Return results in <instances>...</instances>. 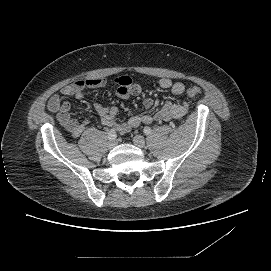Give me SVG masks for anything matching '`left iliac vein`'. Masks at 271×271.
<instances>
[{"label": "left iliac vein", "instance_id": "1", "mask_svg": "<svg viewBox=\"0 0 271 271\" xmlns=\"http://www.w3.org/2000/svg\"><path fill=\"white\" fill-rule=\"evenodd\" d=\"M133 143L139 148H144L145 147V140L141 135L134 136L133 137Z\"/></svg>", "mask_w": 271, "mask_h": 271}]
</instances>
